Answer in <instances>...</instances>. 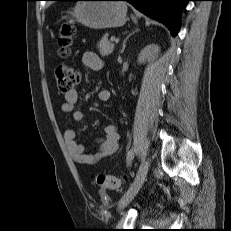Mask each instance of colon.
I'll use <instances>...</instances> for the list:
<instances>
[{
    "label": "colon",
    "instance_id": "colon-1",
    "mask_svg": "<svg viewBox=\"0 0 231 231\" xmlns=\"http://www.w3.org/2000/svg\"><path fill=\"white\" fill-rule=\"evenodd\" d=\"M73 35V26L69 23H64L58 33L57 43L60 52L63 56L68 55ZM55 78L58 89L62 93L71 91L81 80V73L78 69L67 64H59L55 70ZM95 182L100 188L102 196L106 195L107 190L119 188L122 179L118 176L108 174H98L95 177Z\"/></svg>",
    "mask_w": 231,
    "mask_h": 231
}]
</instances>
